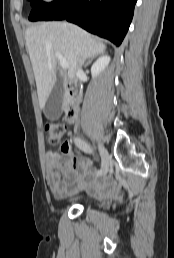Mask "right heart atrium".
Listing matches in <instances>:
<instances>
[{"label":"right heart atrium","mask_w":174,"mask_h":258,"mask_svg":"<svg viewBox=\"0 0 174 258\" xmlns=\"http://www.w3.org/2000/svg\"><path fill=\"white\" fill-rule=\"evenodd\" d=\"M45 2H52V1H54V0H44Z\"/></svg>","instance_id":"right-heart-atrium-1"}]
</instances>
